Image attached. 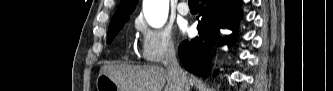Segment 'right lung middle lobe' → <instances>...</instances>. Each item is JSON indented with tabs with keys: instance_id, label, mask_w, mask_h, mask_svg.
<instances>
[{
	"instance_id": "right-lung-middle-lobe-1",
	"label": "right lung middle lobe",
	"mask_w": 333,
	"mask_h": 91,
	"mask_svg": "<svg viewBox=\"0 0 333 91\" xmlns=\"http://www.w3.org/2000/svg\"><path fill=\"white\" fill-rule=\"evenodd\" d=\"M129 18H123L116 21H112L109 25V31L107 36V42L111 43L117 33L121 30L124 26L125 22L128 21Z\"/></svg>"
}]
</instances>
